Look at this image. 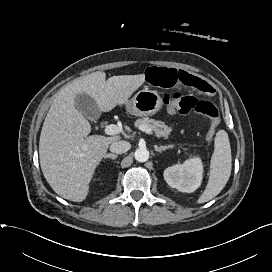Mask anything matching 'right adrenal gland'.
<instances>
[{"instance_id": "1", "label": "right adrenal gland", "mask_w": 272, "mask_h": 272, "mask_svg": "<svg viewBox=\"0 0 272 272\" xmlns=\"http://www.w3.org/2000/svg\"><path fill=\"white\" fill-rule=\"evenodd\" d=\"M104 158H111V159H116L117 155L109 153V154H105Z\"/></svg>"}]
</instances>
